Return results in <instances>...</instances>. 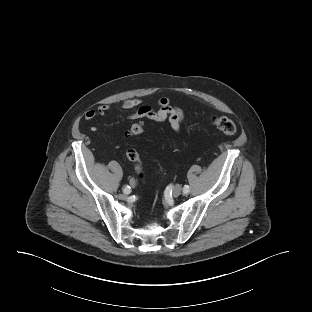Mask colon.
<instances>
[{"instance_id": "obj_1", "label": "colon", "mask_w": 312, "mask_h": 312, "mask_svg": "<svg viewBox=\"0 0 312 312\" xmlns=\"http://www.w3.org/2000/svg\"><path fill=\"white\" fill-rule=\"evenodd\" d=\"M211 125L216 128L218 131L225 135H233L236 132V125L228 117L225 116H215L210 118ZM143 132V125L140 122H135L131 125L128 134L129 135H139ZM126 157L135 164V169L137 174L142 177L143 176V169L141 165V160L138 152L133 149L129 148L126 151Z\"/></svg>"}]
</instances>
